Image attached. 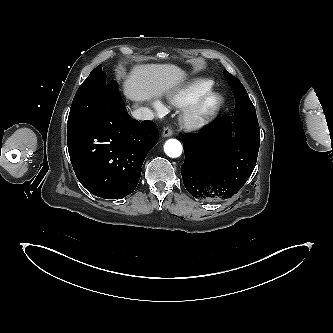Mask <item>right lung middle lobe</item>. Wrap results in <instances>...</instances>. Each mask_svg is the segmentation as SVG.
I'll list each match as a JSON object with an SVG mask.
<instances>
[{
  "instance_id": "obj_1",
  "label": "right lung middle lobe",
  "mask_w": 333,
  "mask_h": 333,
  "mask_svg": "<svg viewBox=\"0 0 333 333\" xmlns=\"http://www.w3.org/2000/svg\"><path fill=\"white\" fill-rule=\"evenodd\" d=\"M112 85L113 82L106 80V73L102 71L101 65L96 67L75 94L68 117L67 130L88 118Z\"/></svg>"
}]
</instances>
